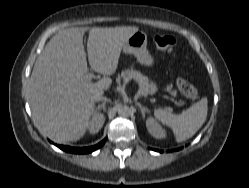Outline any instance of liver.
<instances>
[{
	"mask_svg": "<svg viewBox=\"0 0 249 188\" xmlns=\"http://www.w3.org/2000/svg\"><path fill=\"white\" fill-rule=\"evenodd\" d=\"M89 30L87 54L83 35ZM138 27L69 28L57 33L37 58L30 77V103L36 126L56 143L77 141L85 134L98 97L111 79L97 83L88 78L91 68L114 74L121 50Z\"/></svg>",
	"mask_w": 249,
	"mask_h": 188,
	"instance_id": "liver-1",
	"label": "liver"
}]
</instances>
